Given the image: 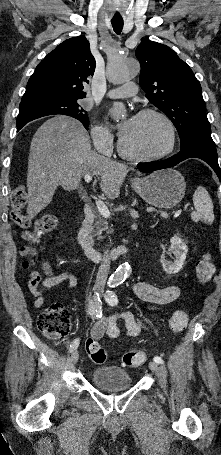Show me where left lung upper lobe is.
Segmentation results:
<instances>
[{
    "label": "left lung upper lobe",
    "instance_id": "obj_1",
    "mask_svg": "<svg viewBox=\"0 0 221 455\" xmlns=\"http://www.w3.org/2000/svg\"><path fill=\"white\" fill-rule=\"evenodd\" d=\"M139 83L146 98L175 125L181 148L193 140L213 141L199 81L168 46L150 40L136 49Z\"/></svg>",
    "mask_w": 221,
    "mask_h": 455
}]
</instances>
